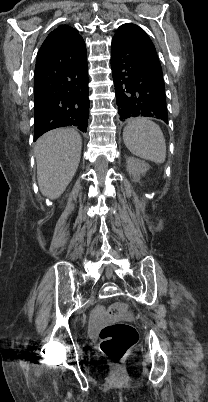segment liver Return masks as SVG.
I'll use <instances>...</instances> for the list:
<instances>
[{"instance_id": "obj_1", "label": "liver", "mask_w": 208, "mask_h": 402, "mask_svg": "<svg viewBox=\"0 0 208 402\" xmlns=\"http://www.w3.org/2000/svg\"><path fill=\"white\" fill-rule=\"evenodd\" d=\"M82 140L72 128L51 130L36 142L37 180L42 196L57 200L70 184L80 162Z\"/></svg>"}]
</instances>
